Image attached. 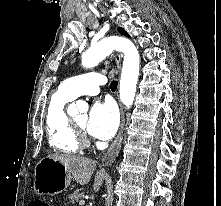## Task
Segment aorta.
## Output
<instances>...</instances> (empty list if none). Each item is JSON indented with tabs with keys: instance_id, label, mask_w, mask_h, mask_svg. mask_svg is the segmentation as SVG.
Wrapping results in <instances>:
<instances>
[{
	"instance_id": "obj_1",
	"label": "aorta",
	"mask_w": 221,
	"mask_h": 206,
	"mask_svg": "<svg viewBox=\"0 0 221 206\" xmlns=\"http://www.w3.org/2000/svg\"><path fill=\"white\" fill-rule=\"evenodd\" d=\"M113 50L124 54L119 93L121 102L130 108L133 104L140 69L138 51L130 40L120 36L102 39L82 54V65L85 68L94 67ZM70 109L72 111L87 110L88 105L83 101H78L76 104H72Z\"/></svg>"
}]
</instances>
